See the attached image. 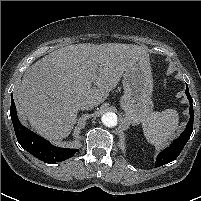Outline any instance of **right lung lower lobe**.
Listing matches in <instances>:
<instances>
[{"label":"right lung lower lobe","instance_id":"obj_1","mask_svg":"<svg viewBox=\"0 0 201 201\" xmlns=\"http://www.w3.org/2000/svg\"><path fill=\"white\" fill-rule=\"evenodd\" d=\"M10 115L19 144L39 160L54 164L72 157L78 151V149L55 147L24 127L18 120L13 97H11Z\"/></svg>","mask_w":201,"mask_h":201}]
</instances>
